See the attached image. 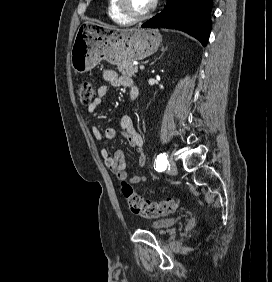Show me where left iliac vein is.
I'll list each match as a JSON object with an SVG mask.
<instances>
[{
  "instance_id": "1",
  "label": "left iliac vein",
  "mask_w": 272,
  "mask_h": 282,
  "mask_svg": "<svg viewBox=\"0 0 272 282\" xmlns=\"http://www.w3.org/2000/svg\"><path fill=\"white\" fill-rule=\"evenodd\" d=\"M168 171L171 175H175L177 173V166L173 159H169L168 163Z\"/></svg>"
}]
</instances>
